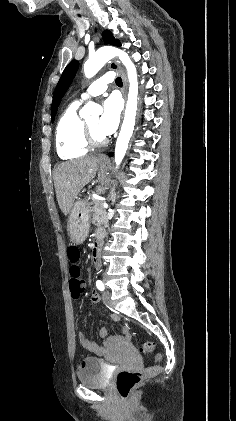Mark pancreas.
I'll return each instance as SVG.
<instances>
[{
  "mask_svg": "<svg viewBox=\"0 0 236 421\" xmlns=\"http://www.w3.org/2000/svg\"><path fill=\"white\" fill-rule=\"evenodd\" d=\"M93 206H91V213H92V223H95L97 227H109V221L107 219V213L103 206L102 200H98V198H91Z\"/></svg>",
  "mask_w": 236,
  "mask_h": 421,
  "instance_id": "1",
  "label": "pancreas"
}]
</instances>
